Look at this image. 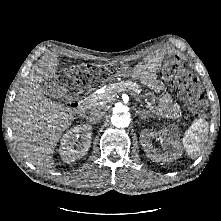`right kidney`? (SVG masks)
Instances as JSON below:
<instances>
[{"mask_svg":"<svg viewBox=\"0 0 221 221\" xmlns=\"http://www.w3.org/2000/svg\"><path fill=\"white\" fill-rule=\"evenodd\" d=\"M91 129L88 125H78L63 135L59 152L64 162H74L86 155L91 146Z\"/></svg>","mask_w":221,"mask_h":221,"instance_id":"1","label":"right kidney"}]
</instances>
